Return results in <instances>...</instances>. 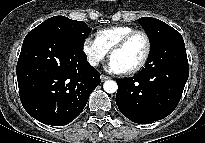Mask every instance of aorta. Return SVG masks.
Returning <instances> with one entry per match:
<instances>
[{
  "mask_svg": "<svg viewBox=\"0 0 205 143\" xmlns=\"http://www.w3.org/2000/svg\"><path fill=\"white\" fill-rule=\"evenodd\" d=\"M103 88H104L105 92H107V93H115L118 89V85L113 80H107V81H105Z\"/></svg>",
  "mask_w": 205,
  "mask_h": 143,
  "instance_id": "762f6f07",
  "label": "aorta"
}]
</instances>
